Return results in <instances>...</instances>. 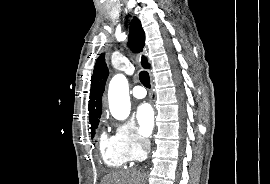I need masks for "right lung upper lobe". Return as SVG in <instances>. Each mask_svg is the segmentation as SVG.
Here are the masks:
<instances>
[{"instance_id": "1", "label": "right lung upper lobe", "mask_w": 270, "mask_h": 184, "mask_svg": "<svg viewBox=\"0 0 270 184\" xmlns=\"http://www.w3.org/2000/svg\"><path fill=\"white\" fill-rule=\"evenodd\" d=\"M129 46L133 52H141L145 43V33L141 26V22L137 17H133L130 24ZM105 54H101L95 64L91 79V92L89 97V120L90 124L99 121L102 108V94L105 89V83L109 75V71L105 62ZM142 65L149 67L146 58H142Z\"/></svg>"}]
</instances>
